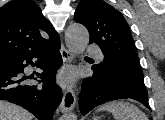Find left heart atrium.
<instances>
[{"label": "left heart atrium", "instance_id": "left-heart-atrium-1", "mask_svg": "<svg viewBox=\"0 0 165 120\" xmlns=\"http://www.w3.org/2000/svg\"><path fill=\"white\" fill-rule=\"evenodd\" d=\"M59 80L62 84H68L73 80V75L71 72L66 71L60 75Z\"/></svg>", "mask_w": 165, "mask_h": 120}]
</instances>
